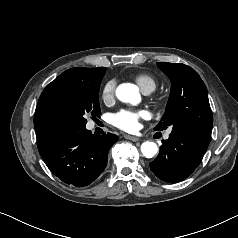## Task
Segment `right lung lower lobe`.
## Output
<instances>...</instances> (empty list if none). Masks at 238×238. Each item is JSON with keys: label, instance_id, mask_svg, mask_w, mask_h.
I'll list each match as a JSON object with an SVG mask.
<instances>
[{"label": "right lung lower lobe", "instance_id": "98d812e1", "mask_svg": "<svg viewBox=\"0 0 238 238\" xmlns=\"http://www.w3.org/2000/svg\"><path fill=\"white\" fill-rule=\"evenodd\" d=\"M114 134L92 135L85 126L66 125L37 135L39 153L51 172L67 184L83 187L104 170Z\"/></svg>", "mask_w": 238, "mask_h": 238}]
</instances>
